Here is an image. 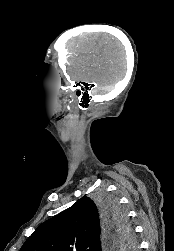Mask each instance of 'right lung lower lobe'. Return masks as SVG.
<instances>
[{
	"label": "right lung lower lobe",
	"mask_w": 174,
	"mask_h": 251,
	"mask_svg": "<svg viewBox=\"0 0 174 251\" xmlns=\"http://www.w3.org/2000/svg\"><path fill=\"white\" fill-rule=\"evenodd\" d=\"M103 227H104V236L102 239V246L103 248H105L107 243L111 240V234L113 232V228L105 220Z\"/></svg>",
	"instance_id": "obj_1"
}]
</instances>
